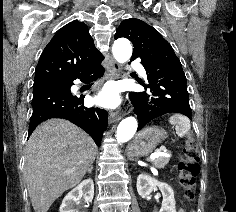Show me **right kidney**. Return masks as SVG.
Listing matches in <instances>:
<instances>
[{
    "label": "right kidney",
    "mask_w": 236,
    "mask_h": 212,
    "mask_svg": "<svg viewBox=\"0 0 236 212\" xmlns=\"http://www.w3.org/2000/svg\"><path fill=\"white\" fill-rule=\"evenodd\" d=\"M93 196V180L86 179L64 197L59 212H75L74 206L82 197L84 198L85 202L89 203L93 200Z\"/></svg>",
    "instance_id": "ca27d5eb"
}]
</instances>
